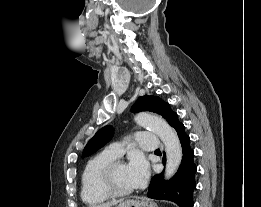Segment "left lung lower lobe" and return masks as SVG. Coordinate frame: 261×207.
<instances>
[{"instance_id":"0a47b994","label":"left lung lower lobe","mask_w":261,"mask_h":207,"mask_svg":"<svg viewBox=\"0 0 261 207\" xmlns=\"http://www.w3.org/2000/svg\"><path fill=\"white\" fill-rule=\"evenodd\" d=\"M182 147V161L177 173L168 181L163 180V174L152 177L147 197L168 200L179 207H193V192L196 187L194 151L190 146V137L185 132L184 125L178 121L174 126ZM166 159L163 158V163Z\"/></svg>"}]
</instances>
